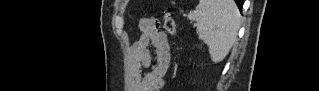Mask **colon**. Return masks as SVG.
<instances>
[{
	"label": "colon",
	"mask_w": 319,
	"mask_h": 91,
	"mask_svg": "<svg viewBox=\"0 0 319 91\" xmlns=\"http://www.w3.org/2000/svg\"><path fill=\"white\" fill-rule=\"evenodd\" d=\"M164 28L169 35L174 36L176 34V21L170 12L164 14Z\"/></svg>",
	"instance_id": "obj_1"
}]
</instances>
